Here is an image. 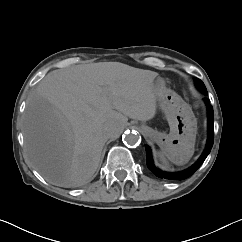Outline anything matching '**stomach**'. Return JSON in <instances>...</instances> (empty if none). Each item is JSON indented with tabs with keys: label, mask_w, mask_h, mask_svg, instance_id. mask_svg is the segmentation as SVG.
<instances>
[{
	"label": "stomach",
	"mask_w": 242,
	"mask_h": 242,
	"mask_svg": "<svg viewBox=\"0 0 242 242\" xmlns=\"http://www.w3.org/2000/svg\"><path fill=\"white\" fill-rule=\"evenodd\" d=\"M157 105L165 114L170 133L165 134L142 125V132L163 150L178 152L184 159L191 157L194 150L197 122L190 106L172 90L160 87Z\"/></svg>",
	"instance_id": "obj_1"
}]
</instances>
